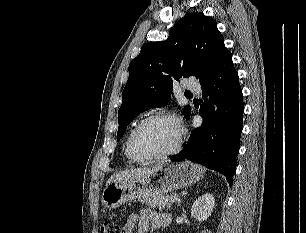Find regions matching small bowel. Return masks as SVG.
Here are the masks:
<instances>
[{
  "instance_id": "obj_1",
  "label": "small bowel",
  "mask_w": 306,
  "mask_h": 233,
  "mask_svg": "<svg viewBox=\"0 0 306 233\" xmlns=\"http://www.w3.org/2000/svg\"><path fill=\"white\" fill-rule=\"evenodd\" d=\"M171 222L169 214L157 213L143 209L138 214H131L123 227V233H149L162 227H167Z\"/></svg>"
}]
</instances>
